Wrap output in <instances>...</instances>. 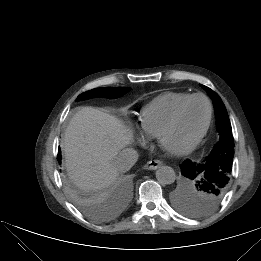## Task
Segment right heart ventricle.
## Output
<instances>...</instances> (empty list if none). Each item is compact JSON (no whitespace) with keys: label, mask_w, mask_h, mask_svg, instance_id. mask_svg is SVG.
Instances as JSON below:
<instances>
[{"label":"right heart ventricle","mask_w":261,"mask_h":261,"mask_svg":"<svg viewBox=\"0 0 261 261\" xmlns=\"http://www.w3.org/2000/svg\"><path fill=\"white\" fill-rule=\"evenodd\" d=\"M190 94L165 92L146 104L140 113V129L148 138H156L174 109Z\"/></svg>","instance_id":"1"}]
</instances>
